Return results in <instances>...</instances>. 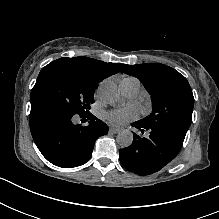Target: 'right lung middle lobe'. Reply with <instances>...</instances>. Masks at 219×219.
<instances>
[{
  "label": "right lung middle lobe",
  "instance_id": "1",
  "mask_svg": "<svg viewBox=\"0 0 219 219\" xmlns=\"http://www.w3.org/2000/svg\"><path fill=\"white\" fill-rule=\"evenodd\" d=\"M97 83L84 70L53 61L40 71L30 101L50 103L72 115L89 114Z\"/></svg>",
  "mask_w": 219,
  "mask_h": 219
}]
</instances>
